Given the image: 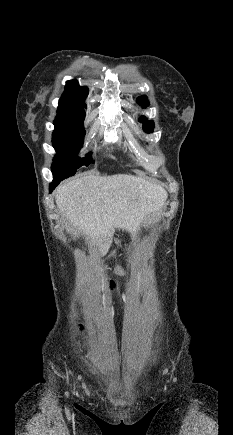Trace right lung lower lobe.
<instances>
[{"mask_svg":"<svg viewBox=\"0 0 233 435\" xmlns=\"http://www.w3.org/2000/svg\"><path fill=\"white\" fill-rule=\"evenodd\" d=\"M59 183H60L59 180H54L52 183H50V185H49L50 193L55 189V187H56Z\"/></svg>","mask_w":233,"mask_h":435,"instance_id":"1","label":"right lung lower lobe"}]
</instances>
